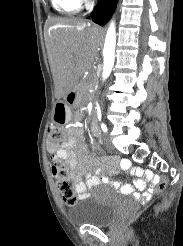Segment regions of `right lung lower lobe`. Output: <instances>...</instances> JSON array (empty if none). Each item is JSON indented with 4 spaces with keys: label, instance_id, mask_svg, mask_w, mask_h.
Segmentation results:
<instances>
[{
    "label": "right lung lower lobe",
    "instance_id": "obj_1",
    "mask_svg": "<svg viewBox=\"0 0 183 246\" xmlns=\"http://www.w3.org/2000/svg\"><path fill=\"white\" fill-rule=\"evenodd\" d=\"M117 0H102L91 14L92 20L103 26L106 24L116 7Z\"/></svg>",
    "mask_w": 183,
    "mask_h": 246
}]
</instances>
